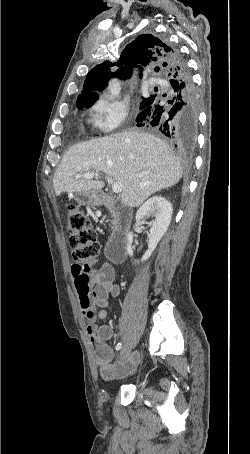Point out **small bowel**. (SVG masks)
I'll use <instances>...</instances> for the list:
<instances>
[{
	"mask_svg": "<svg viewBox=\"0 0 250 454\" xmlns=\"http://www.w3.org/2000/svg\"><path fill=\"white\" fill-rule=\"evenodd\" d=\"M71 275L79 298L80 306L85 314L86 310L95 306L99 309L94 312L93 319H87V333L94 348L95 363L104 380L121 378L131 373L138 360L137 355L129 359L121 357L112 362L114 353L106 343L113 336L110 325H97L95 318L105 319L108 315L109 297L120 294L119 286L115 283V272L112 266L103 264L97 269L74 263L71 266Z\"/></svg>",
	"mask_w": 250,
	"mask_h": 454,
	"instance_id": "c3829d8e",
	"label": "small bowel"
}]
</instances>
